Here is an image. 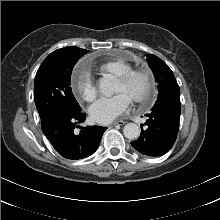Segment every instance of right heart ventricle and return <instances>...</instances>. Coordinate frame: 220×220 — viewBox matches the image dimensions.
Returning <instances> with one entry per match:
<instances>
[{
	"label": "right heart ventricle",
	"instance_id": "1",
	"mask_svg": "<svg viewBox=\"0 0 220 220\" xmlns=\"http://www.w3.org/2000/svg\"><path fill=\"white\" fill-rule=\"evenodd\" d=\"M131 68V64L122 59L107 61L99 66V72L119 77L125 71Z\"/></svg>",
	"mask_w": 220,
	"mask_h": 220
}]
</instances>
